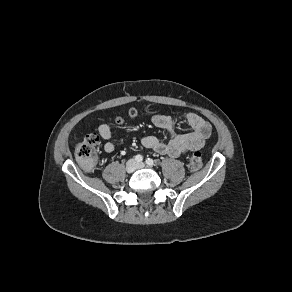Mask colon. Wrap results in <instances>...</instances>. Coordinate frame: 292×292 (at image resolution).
I'll use <instances>...</instances> for the list:
<instances>
[{
	"label": "colon",
	"instance_id": "1",
	"mask_svg": "<svg viewBox=\"0 0 292 292\" xmlns=\"http://www.w3.org/2000/svg\"><path fill=\"white\" fill-rule=\"evenodd\" d=\"M130 118H135L137 113L135 110H130L128 113ZM122 118L118 119V123H122ZM100 138L95 132L87 134L75 148V155L80 165L87 171L95 168L98 156ZM203 155L196 151L191 154L188 160V168L191 171H197L203 166Z\"/></svg>",
	"mask_w": 292,
	"mask_h": 292
}]
</instances>
